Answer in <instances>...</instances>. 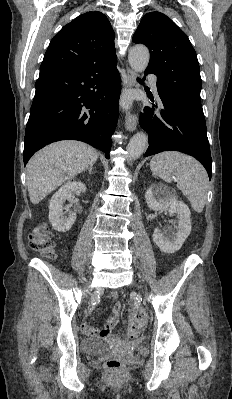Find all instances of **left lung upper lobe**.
<instances>
[{
  "label": "left lung upper lobe",
  "mask_w": 232,
  "mask_h": 399,
  "mask_svg": "<svg viewBox=\"0 0 232 399\" xmlns=\"http://www.w3.org/2000/svg\"><path fill=\"white\" fill-rule=\"evenodd\" d=\"M133 42L142 43L150 50L145 72L157 75L163 91L205 119L200 100L199 63L187 35L166 15L150 12L142 18Z\"/></svg>",
  "instance_id": "obj_1"
}]
</instances>
